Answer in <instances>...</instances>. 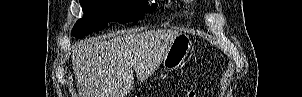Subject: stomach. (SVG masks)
<instances>
[{
  "mask_svg": "<svg viewBox=\"0 0 302 97\" xmlns=\"http://www.w3.org/2000/svg\"><path fill=\"white\" fill-rule=\"evenodd\" d=\"M192 51V41L186 34H180L170 44L162 65L166 71L178 69Z\"/></svg>",
  "mask_w": 302,
  "mask_h": 97,
  "instance_id": "0dacf381",
  "label": "stomach"
}]
</instances>
